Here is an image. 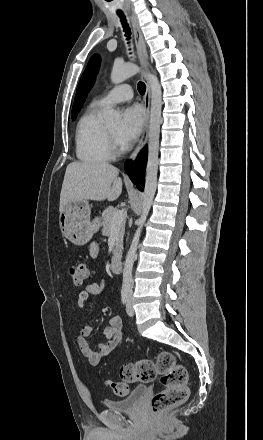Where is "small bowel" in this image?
Segmentation results:
<instances>
[{"mask_svg": "<svg viewBox=\"0 0 263 440\" xmlns=\"http://www.w3.org/2000/svg\"><path fill=\"white\" fill-rule=\"evenodd\" d=\"M98 246L93 244L90 253L95 257L98 253ZM106 290V284L103 280L99 283H91L87 285L78 295V307L81 311H86V306L90 300L98 295H102ZM94 331V326L91 323L85 324L77 338L78 346L82 354L87 358L91 364H98L100 360L109 355L115 350L123 340V322L120 316L115 315L109 319L108 325L105 329L107 341L100 343L97 349H94L88 343V338Z\"/></svg>", "mask_w": 263, "mask_h": 440, "instance_id": "c3829d8e", "label": "small bowel"}]
</instances>
